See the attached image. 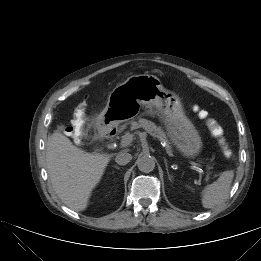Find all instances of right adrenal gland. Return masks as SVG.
I'll return each mask as SVG.
<instances>
[{
  "label": "right adrenal gland",
  "instance_id": "right-adrenal-gland-1",
  "mask_svg": "<svg viewBox=\"0 0 261 261\" xmlns=\"http://www.w3.org/2000/svg\"><path fill=\"white\" fill-rule=\"evenodd\" d=\"M115 168H116V169H119V167H118V166H115Z\"/></svg>",
  "mask_w": 261,
  "mask_h": 261
}]
</instances>
